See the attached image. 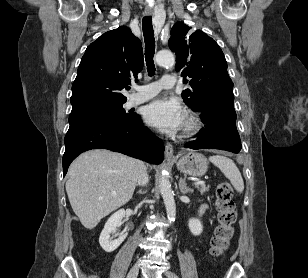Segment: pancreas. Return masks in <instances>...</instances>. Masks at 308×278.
Wrapping results in <instances>:
<instances>
[{
  "label": "pancreas",
  "instance_id": "obj_1",
  "mask_svg": "<svg viewBox=\"0 0 308 278\" xmlns=\"http://www.w3.org/2000/svg\"><path fill=\"white\" fill-rule=\"evenodd\" d=\"M196 188L198 191H200L201 194L209 190V187H207L206 185H196Z\"/></svg>",
  "mask_w": 308,
  "mask_h": 278
}]
</instances>
